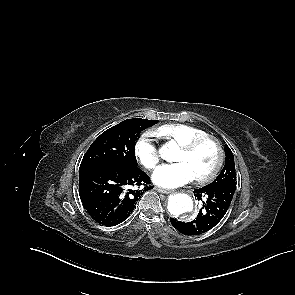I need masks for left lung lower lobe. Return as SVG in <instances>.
<instances>
[{
	"instance_id": "left-lung-lower-lobe-1",
	"label": "left lung lower lobe",
	"mask_w": 295,
	"mask_h": 295,
	"mask_svg": "<svg viewBox=\"0 0 295 295\" xmlns=\"http://www.w3.org/2000/svg\"><path fill=\"white\" fill-rule=\"evenodd\" d=\"M235 188L233 185H206L195 189V197L203 204L197 217L186 223L170 218L172 226L185 235H200L211 230L226 214Z\"/></svg>"
}]
</instances>
